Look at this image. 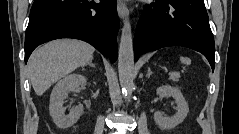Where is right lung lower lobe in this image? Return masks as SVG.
Here are the masks:
<instances>
[{
	"instance_id": "obj_1",
	"label": "right lung lower lobe",
	"mask_w": 239,
	"mask_h": 134,
	"mask_svg": "<svg viewBox=\"0 0 239 134\" xmlns=\"http://www.w3.org/2000/svg\"><path fill=\"white\" fill-rule=\"evenodd\" d=\"M119 28L116 0H35L25 35V63L40 44L58 38L88 42L114 62Z\"/></svg>"
}]
</instances>
